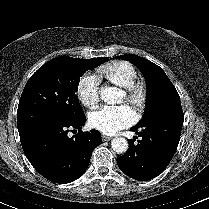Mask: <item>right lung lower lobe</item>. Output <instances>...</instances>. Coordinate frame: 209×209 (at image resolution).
I'll return each mask as SVG.
<instances>
[{"mask_svg":"<svg viewBox=\"0 0 209 209\" xmlns=\"http://www.w3.org/2000/svg\"><path fill=\"white\" fill-rule=\"evenodd\" d=\"M85 121L83 114L64 122L38 124L19 133L27 159L44 178L66 184L85 172L94 148L102 143L99 131L80 130ZM69 129L79 131L70 138Z\"/></svg>","mask_w":209,"mask_h":209,"instance_id":"obj_1","label":"right lung lower lobe"}]
</instances>
